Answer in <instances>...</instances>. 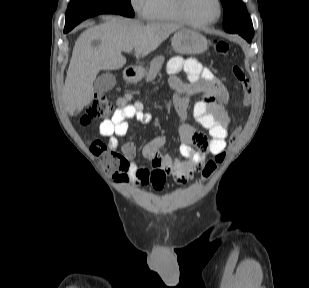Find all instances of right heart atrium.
<instances>
[{"label":"right heart atrium","mask_w":309,"mask_h":288,"mask_svg":"<svg viewBox=\"0 0 309 288\" xmlns=\"http://www.w3.org/2000/svg\"><path fill=\"white\" fill-rule=\"evenodd\" d=\"M148 0H130V5L132 9L139 15H145V8L147 6Z\"/></svg>","instance_id":"1"}]
</instances>
